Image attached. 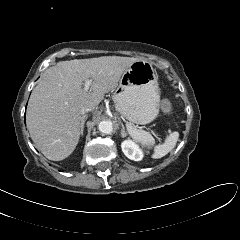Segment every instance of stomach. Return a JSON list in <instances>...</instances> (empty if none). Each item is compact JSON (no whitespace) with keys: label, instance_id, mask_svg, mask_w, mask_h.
I'll return each instance as SVG.
<instances>
[{"label":"stomach","instance_id":"stomach-1","mask_svg":"<svg viewBox=\"0 0 240 240\" xmlns=\"http://www.w3.org/2000/svg\"><path fill=\"white\" fill-rule=\"evenodd\" d=\"M116 110L130 122L147 124L159 114L158 77L145 60L132 63L122 74L114 93Z\"/></svg>","mask_w":240,"mask_h":240}]
</instances>
